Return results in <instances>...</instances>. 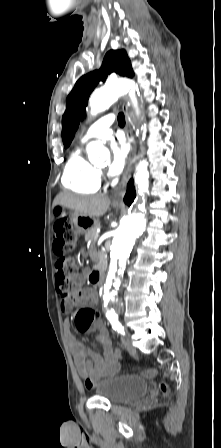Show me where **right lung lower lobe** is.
Listing matches in <instances>:
<instances>
[{
	"label": "right lung lower lobe",
	"instance_id": "obj_1",
	"mask_svg": "<svg viewBox=\"0 0 221 448\" xmlns=\"http://www.w3.org/2000/svg\"><path fill=\"white\" fill-rule=\"evenodd\" d=\"M135 195L136 194H135V190H134L133 180H130V182L128 183V186H127V192L124 197V202L127 205H130L133 202Z\"/></svg>",
	"mask_w": 221,
	"mask_h": 448
}]
</instances>
